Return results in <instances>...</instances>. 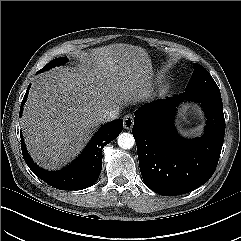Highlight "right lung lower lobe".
<instances>
[{"label":"right lung lower lobe","instance_id":"right-lung-lower-lobe-1","mask_svg":"<svg viewBox=\"0 0 241 241\" xmlns=\"http://www.w3.org/2000/svg\"><path fill=\"white\" fill-rule=\"evenodd\" d=\"M29 88L30 85L21 103L20 117L22 116L23 104L27 99ZM122 129V119L102 126L81 155L73 163L57 172L43 170L33 162L26 150L21 134L22 154L31 171L47 184L60 190H81L91 186L98 179L102 170V148L117 138Z\"/></svg>","mask_w":241,"mask_h":241}]
</instances>
